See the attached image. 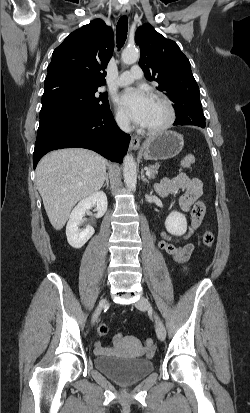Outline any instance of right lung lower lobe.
<instances>
[{
	"label": "right lung lower lobe",
	"mask_w": 250,
	"mask_h": 413,
	"mask_svg": "<svg viewBox=\"0 0 250 413\" xmlns=\"http://www.w3.org/2000/svg\"><path fill=\"white\" fill-rule=\"evenodd\" d=\"M130 135L122 132L109 110L100 112L55 109L40 118L33 166L49 151L81 147L122 162Z\"/></svg>",
	"instance_id": "obj_1"
}]
</instances>
